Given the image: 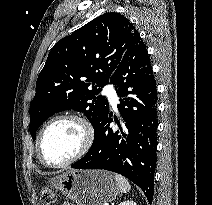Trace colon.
Wrapping results in <instances>:
<instances>
[{
    "instance_id": "5ec220e1",
    "label": "colon",
    "mask_w": 212,
    "mask_h": 205,
    "mask_svg": "<svg viewBox=\"0 0 212 205\" xmlns=\"http://www.w3.org/2000/svg\"><path fill=\"white\" fill-rule=\"evenodd\" d=\"M56 200V192L51 185H46L41 189L40 201L42 205H51Z\"/></svg>"
}]
</instances>
